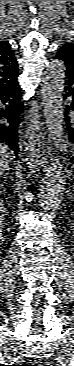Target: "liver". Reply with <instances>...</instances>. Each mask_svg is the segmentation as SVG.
I'll return each mask as SVG.
<instances>
[{"label":"liver","mask_w":74,"mask_h":366,"mask_svg":"<svg viewBox=\"0 0 74 366\" xmlns=\"http://www.w3.org/2000/svg\"><path fill=\"white\" fill-rule=\"evenodd\" d=\"M13 156V152L5 144H0V170L5 171L9 168V161Z\"/></svg>","instance_id":"6515ba94"}]
</instances>
